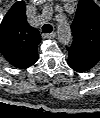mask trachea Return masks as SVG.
Returning <instances> with one entry per match:
<instances>
[{"label":"trachea","instance_id":"3493384b","mask_svg":"<svg viewBox=\"0 0 100 118\" xmlns=\"http://www.w3.org/2000/svg\"><path fill=\"white\" fill-rule=\"evenodd\" d=\"M52 30H53V27L50 24H45L42 26L43 33H51Z\"/></svg>","mask_w":100,"mask_h":118}]
</instances>
